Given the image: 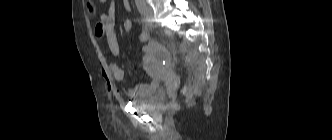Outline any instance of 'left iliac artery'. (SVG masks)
<instances>
[{
	"label": "left iliac artery",
	"instance_id": "left-iliac-artery-1",
	"mask_svg": "<svg viewBox=\"0 0 332 140\" xmlns=\"http://www.w3.org/2000/svg\"><path fill=\"white\" fill-rule=\"evenodd\" d=\"M135 2H136V6H137L139 12L143 13L144 12V5H145L144 0H135Z\"/></svg>",
	"mask_w": 332,
	"mask_h": 140
}]
</instances>
